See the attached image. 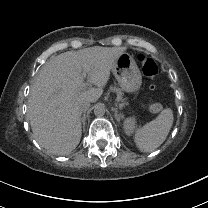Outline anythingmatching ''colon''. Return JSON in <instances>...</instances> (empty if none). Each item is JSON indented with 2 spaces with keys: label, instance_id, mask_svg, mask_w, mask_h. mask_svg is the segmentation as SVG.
I'll use <instances>...</instances> for the list:
<instances>
[{
  "label": "colon",
  "instance_id": "1",
  "mask_svg": "<svg viewBox=\"0 0 208 208\" xmlns=\"http://www.w3.org/2000/svg\"><path fill=\"white\" fill-rule=\"evenodd\" d=\"M137 58L141 65L143 74L149 79H155L158 75V67L155 61L145 54H140ZM162 109L161 104L153 103L150 105V110L152 112H160Z\"/></svg>",
  "mask_w": 208,
  "mask_h": 208
}]
</instances>
